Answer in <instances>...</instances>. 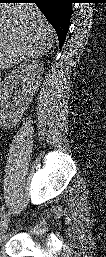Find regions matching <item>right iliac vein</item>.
Segmentation results:
<instances>
[{
	"label": "right iliac vein",
	"mask_w": 106,
	"mask_h": 257,
	"mask_svg": "<svg viewBox=\"0 0 106 257\" xmlns=\"http://www.w3.org/2000/svg\"><path fill=\"white\" fill-rule=\"evenodd\" d=\"M9 221H10L9 214H6L4 216L1 224H0V231H1V233L5 232V230L8 227Z\"/></svg>",
	"instance_id": "obj_1"
}]
</instances>
